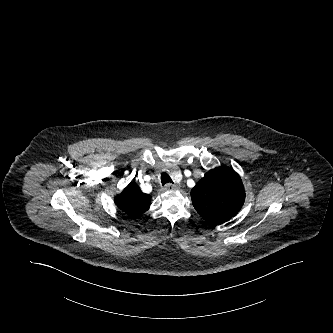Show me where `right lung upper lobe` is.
Here are the masks:
<instances>
[{"instance_id": "cb5924a9", "label": "right lung upper lobe", "mask_w": 333, "mask_h": 333, "mask_svg": "<svg viewBox=\"0 0 333 333\" xmlns=\"http://www.w3.org/2000/svg\"><path fill=\"white\" fill-rule=\"evenodd\" d=\"M116 206L130 218H139L151 204V196L144 194L140 188L131 182L120 195L115 198Z\"/></svg>"}]
</instances>
